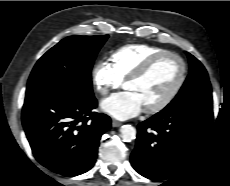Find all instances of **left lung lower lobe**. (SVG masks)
I'll return each mask as SVG.
<instances>
[{"label":"left lung lower lobe","instance_id":"1","mask_svg":"<svg viewBox=\"0 0 230 186\" xmlns=\"http://www.w3.org/2000/svg\"><path fill=\"white\" fill-rule=\"evenodd\" d=\"M212 122V99L163 109L138 125L133 168L153 180L173 177L204 145Z\"/></svg>","mask_w":230,"mask_h":186}]
</instances>
